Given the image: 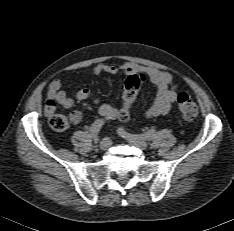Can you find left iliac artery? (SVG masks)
Returning a JSON list of instances; mask_svg holds the SVG:
<instances>
[{
  "label": "left iliac artery",
  "instance_id": "44dca946",
  "mask_svg": "<svg viewBox=\"0 0 234 231\" xmlns=\"http://www.w3.org/2000/svg\"><path fill=\"white\" fill-rule=\"evenodd\" d=\"M118 134L126 139H144V140H152L155 136L156 131L154 129H150L144 134L134 135L126 132L122 127L118 128Z\"/></svg>",
  "mask_w": 234,
  "mask_h": 231
}]
</instances>
